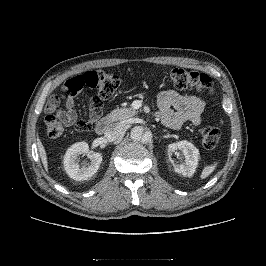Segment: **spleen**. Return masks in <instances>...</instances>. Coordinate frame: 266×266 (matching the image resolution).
<instances>
[{
  "label": "spleen",
  "mask_w": 266,
  "mask_h": 266,
  "mask_svg": "<svg viewBox=\"0 0 266 266\" xmlns=\"http://www.w3.org/2000/svg\"><path fill=\"white\" fill-rule=\"evenodd\" d=\"M218 166V162H213L212 164L210 165H207L203 168L202 170V173L200 175V179H205L207 178L208 176H210L214 171L215 169L217 168Z\"/></svg>",
  "instance_id": "3e777b00"
}]
</instances>
